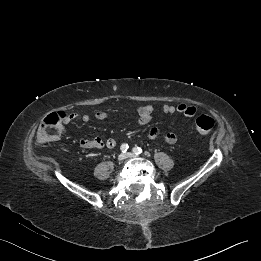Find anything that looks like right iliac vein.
<instances>
[{"label": "right iliac vein", "instance_id": "obj_1", "mask_svg": "<svg viewBox=\"0 0 261 261\" xmlns=\"http://www.w3.org/2000/svg\"><path fill=\"white\" fill-rule=\"evenodd\" d=\"M126 158V155L124 153H121L118 155V161H123Z\"/></svg>", "mask_w": 261, "mask_h": 261}]
</instances>
